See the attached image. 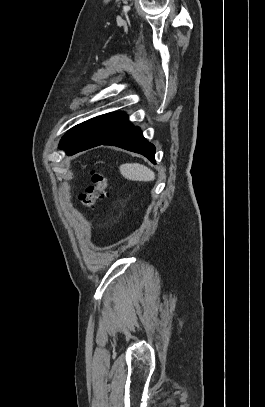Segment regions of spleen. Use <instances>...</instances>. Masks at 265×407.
<instances>
[{"label":"spleen","mask_w":265,"mask_h":407,"mask_svg":"<svg viewBox=\"0 0 265 407\" xmlns=\"http://www.w3.org/2000/svg\"><path fill=\"white\" fill-rule=\"evenodd\" d=\"M120 172L124 178L132 181H153L155 173L145 165L139 163H127L120 166Z\"/></svg>","instance_id":"3e777b00"}]
</instances>
